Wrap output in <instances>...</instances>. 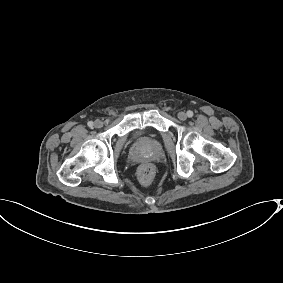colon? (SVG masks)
I'll return each instance as SVG.
<instances>
[{
	"instance_id": "obj_1",
	"label": "colon",
	"mask_w": 283,
	"mask_h": 283,
	"mask_svg": "<svg viewBox=\"0 0 283 283\" xmlns=\"http://www.w3.org/2000/svg\"><path fill=\"white\" fill-rule=\"evenodd\" d=\"M154 177V168L150 164H144L139 168L138 178L141 184L148 185Z\"/></svg>"
}]
</instances>
